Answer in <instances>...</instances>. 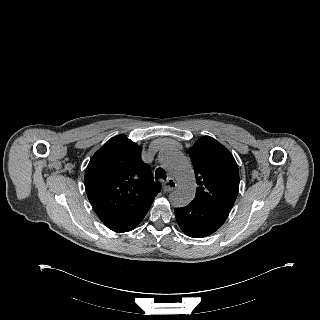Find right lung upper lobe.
Returning <instances> with one entry per match:
<instances>
[{
	"mask_svg": "<svg viewBox=\"0 0 320 320\" xmlns=\"http://www.w3.org/2000/svg\"><path fill=\"white\" fill-rule=\"evenodd\" d=\"M84 183L103 223L149 210L161 190L149 166L141 161V147L125 135L111 138L93 155Z\"/></svg>",
	"mask_w": 320,
	"mask_h": 320,
	"instance_id": "cb5924a9",
	"label": "right lung upper lobe"
}]
</instances>
